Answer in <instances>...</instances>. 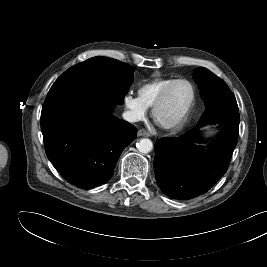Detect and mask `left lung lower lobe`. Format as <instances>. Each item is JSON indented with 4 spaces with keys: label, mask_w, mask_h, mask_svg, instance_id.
<instances>
[{
    "label": "left lung lower lobe",
    "mask_w": 267,
    "mask_h": 267,
    "mask_svg": "<svg viewBox=\"0 0 267 267\" xmlns=\"http://www.w3.org/2000/svg\"><path fill=\"white\" fill-rule=\"evenodd\" d=\"M220 124L219 137L211 142L208 153L200 154L194 145L198 129ZM239 132V112L218 113L199 121L192 130L177 138H162L155 144L154 171L164 194L173 199H191L206 193L225 174Z\"/></svg>",
    "instance_id": "left-lung-lower-lobe-1"
}]
</instances>
